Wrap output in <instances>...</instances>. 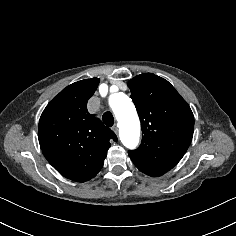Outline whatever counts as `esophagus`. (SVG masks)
Wrapping results in <instances>:
<instances>
[{
  "label": "esophagus",
  "instance_id": "obj_1",
  "mask_svg": "<svg viewBox=\"0 0 236 236\" xmlns=\"http://www.w3.org/2000/svg\"><path fill=\"white\" fill-rule=\"evenodd\" d=\"M112 130L117 134V132H118V127H117V125H113V126H112Z\"/></svg>",
  "mask_w": 236,
  "mask_h": 236
}]
</instances>
